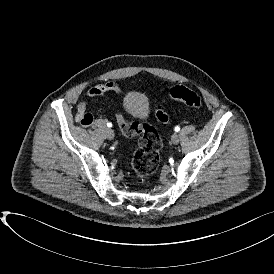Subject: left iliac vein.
I'll use <instances>...</instances> for the list:
<instances>
[{
    "label": "left iliac vein",
    "instance_id": "obj_1",
    "mask_svg": "<svg viewBox=\"0 0 274 274\" xmlns=\"http://www.w3.org/2000/svg\"><path fill=\"white\" fill-rule=\"evenodd\" d=\"M171 141H172L173 144H178L179 141H180L179 135L177 133H174L171 136Z\"/></svg>",
    "mask_w": 274,
    "mask_h": 274
}]
</instances>
